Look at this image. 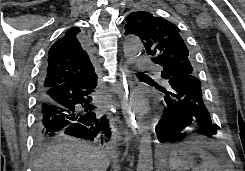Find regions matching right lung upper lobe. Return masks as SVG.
Returning a JSON list of instances; mask_svg holds the SVG:
<instances>
[{"mask_svg":"<svg viewBox=\"0 0 245 171\" xmlns=\"http://www.w3.org/2000/svg\"><path fill=\"white\" fill-rule=\"evenodd\" d=\"M95 76L92 56L84 46L80 29L72 27L49 49L38 86L49 88Z\"/></svg>","mask_w":245,"mask_h":171,"instance_id":"1","label":"right lung upper lobe"}]
</instances>
